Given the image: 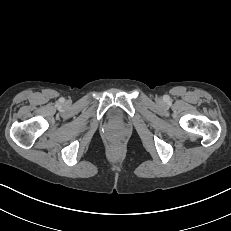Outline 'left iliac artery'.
<instances>
[{
  "label": "left iliac artery",
  "instance_id": "obj_1",
  "mask_svg": "<svg viewBox=\"0 0 231 231\" xmlns=\"http://www.w3.org/2000/svg\"><path fill=\"white\" fill-rule=\"evenodd\" d=\"M165 99H167V100H168V99H169V97H168V96H165Z\"/></svg>",
  "mask_w": 231,
  "mask_h": 231
}]
</instances>
